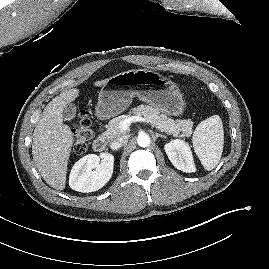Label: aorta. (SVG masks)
<instances>
[{
	"label": "aorta",
	"instance_id": "aorta-1",
	"mask_svg": "<svg viewBox=\"0 0 269 269\" xmlns=\"http://www.w3.org/2000/svg\"><path fill=\"white\" fill-rule=\"evenodd\" d=\"M150 137L145 134V133H142V134H139L138 138H137V143L140 147H148L150 145Z\"/></svg>",
	"mask_w": 269,
	"mask_h": 269
}]
</instances>
